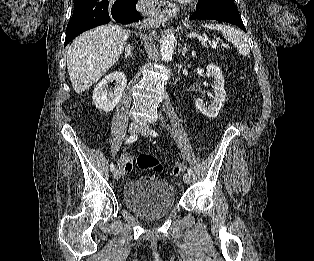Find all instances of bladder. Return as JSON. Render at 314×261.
<instances>
[{
  "mask_svg": "<svg viewBox=\"0 0 314 261\" xmlns=\"http://www.w3.org/2000/svg\"><path fill=\"white\" fill-rule=\"evenodd\" d=\"M124 205L136 215L157 220L166 216L176 204V189L166 181L134 180L125 184Z\"/></svg>",
  "mask_w": 314,
  "mask_h": 261,
  "instance_id": "bladder-1",
  "label": "bladder"
}]
</instances>
